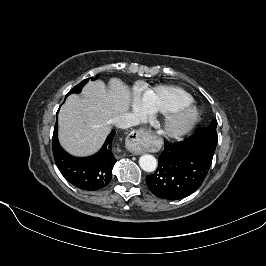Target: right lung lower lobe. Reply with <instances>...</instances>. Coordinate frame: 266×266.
Listing matches in <instances>:
<instances>
[{
  "instance_id": "right-lung-lower-lobe-1",
  "label": "right lung lower lobe",
  "mask_w": 266,
  "mask_h": 266,
  "mask_svg": "<svg viewBox=\"0 0 266 266\" xmlns=\"http://www.w3.org/2000/svg\"><path fill=\"white\" fill-rule=\"evenodd\" d=\"M57 131L56 122L52 149L55 163L65 179L75 187L86 191L105 187L112 178V169L117 161L113 152L115 131L109 134L98 153L86 158H76L64 151L58 142Z\"/></svg>"
}]
</instances>
